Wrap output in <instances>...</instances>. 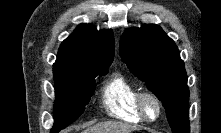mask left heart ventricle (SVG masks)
Instances as JSON below:
<instances>
[{"mask_svg":"<svg viewBox=\"0 0 221 133\" xmlns=\"http://www.w3.org/2000/svg\"><path fill=\"white\" fill-rule=\"evenodd\" d=\"M148 114L153 117L156 114V108L152 103H148L147 105Z\"/></svg>","mask_w":221,"mask_h":133,"instance_id":"left-heart-ventricle-1","label":"left heart ventricle"}]
</instances>
